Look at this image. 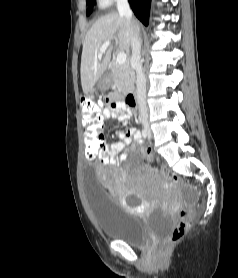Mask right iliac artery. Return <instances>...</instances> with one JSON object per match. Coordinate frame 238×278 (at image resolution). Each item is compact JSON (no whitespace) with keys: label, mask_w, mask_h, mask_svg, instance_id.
I'll list each match as a JSON object with an SVG mask.
<instances>
[{"label":"right iliac artery","mask_w":238,"mask_h":278,"mask_svg":"<svg viewBox=\"0 0 238 278\" xmlns=\"http://www.w3.org/2000/svg\"><path fill=\"white\" fill-rule=\"evenodd\" d=\"M142 136H143V138H146V137H147V131H146V129H142Z\"/></svg>","instance_id":"right-iliac-artery-1"}]
</instances>
